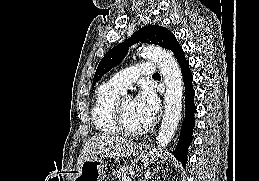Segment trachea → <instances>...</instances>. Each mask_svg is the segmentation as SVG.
<instances>
[{"label":"trachea","mask_w":259,"mask_h":181,"mask_svg":"<svg viewBox=\"0 0 259 181\" xmlns=\"http://www.w3.org/2000/svg\"><path fill=\"white\" fill-rule=\"evenodd\" d=\"M160 74L158 72H156L153 76H159Z\"/></svg>","instance_id":"trachea-1"}]
</instances>
